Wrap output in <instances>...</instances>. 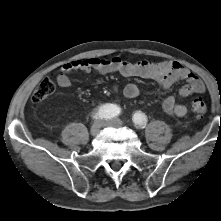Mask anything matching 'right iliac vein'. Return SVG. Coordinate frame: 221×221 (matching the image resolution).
<instances>
[{"label":"right iliac vein","mask_w":221,"mask_h":221,"mask_svg":"<svg viewBox=\"0 0 221 221\" xmlns=\"http://www.w3.org/2000/svg\"><path fill=\"white\" fill-rule=\"evenodd\" d=\"M103 125H104V121H101V120L95 121L90 129L91 135L92 136L98 135Z\"/></svg>","instance_id":"right-iliac-vein-1"}]
</instances>
